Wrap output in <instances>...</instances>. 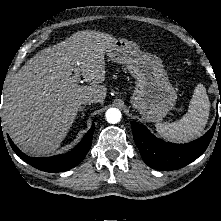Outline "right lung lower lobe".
<instances>
[{
  "instance_id": "right-lung-lower-lobe-1",
  "label": "right lung lower lobe",
  "mask_w": 221,
  "mask_h": 221,
  "mask_svg": "<svg viewBox=\"0 0 221 221\" xmlns=\"http://www.w3.org/2000/svg\"><path fill=\"white\" fill-rule=\"evenodd\" d=\"M0 127H1V118H0ZM94 128L95 125L93 123L90 130L85 134L84 138L74 149H72L68 153L57 155L54 157H41V158L29 157L24 153H22L18 149V147L14 145V143L9 137L8 140L12 149L23 161L27 162L28 164L39 170L51 173H57L75 167L84 159V157L86 156V154L88 153L91 147Z\"/></svg>"
}]
</instances>
